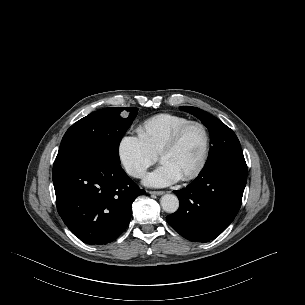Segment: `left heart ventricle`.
Instances as JSON below:
<instances>
[{
  "label": "left heart ventricle",
  "instance_id": "b2bd125f",
  "mask_svg": "<svg viewBox=\"0 0 305 305\" xmlns=\"http://www.w3.org/2000/svg\"><path fill=\"white\" fill-rule=\"evenodd\" d=\"M204 147L203 130L198 126H192L183 134L178 145L162 156L161 162L169 165L183 177L198 166Z\"/></svg>",
  "mask_w": 305,
  "mask_h": 305
}]
</instances>
